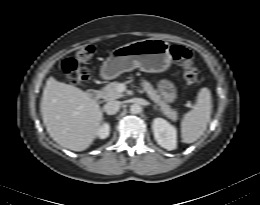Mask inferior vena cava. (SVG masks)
<instances>
[{
  "label": "inferior vena cava",
  "instance_id": "602c4592",
  "mask_svg": "<svg viewBox=\"0 0 260 205\" xmlns=\"http://www.w3.org/2000/svg\"><path fill=\"white\" fill-rule=\"evenodd\" d=\"M121 107L120 101H110L104 106V110L108 115L116 114Z\"/></svg>",
  "mask_w": 260,
  "mask_h": 205
}]
</instances>
